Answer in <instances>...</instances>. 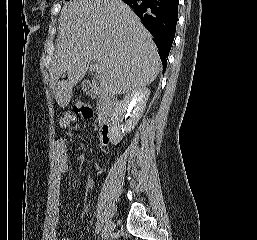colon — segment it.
<instances>
[{"mask_svg":"<svg viewBox=\"0 0 257 240\" xmlns=\"http://www.w3.org/2000/svg\"><path fill=\"white\" fill-rule=\"evenodd\" d=\"M77 115L86 119L91 118L93 116V109L89 104L82 101H78L74 104L73 111L66 115L65 122L75 120Z\"/></svg>","mask_w":257,"mask_h":240,"instance_id":"obj_1","label":"colon"}]
</instances>
